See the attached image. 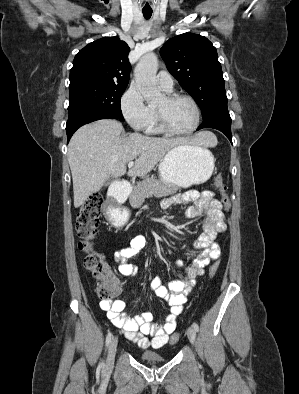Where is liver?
<instances>
[{"label": "liver", "instance_id": "6515ba94", "mask_svg": "<svg viewBox=\"0 0 299 394\" xmlns=\"http://www.w3.org/2000/svg\"><path fill=\"white\" fill-rule=\"evenodd\" d=\"M123 130L118 121L101 119L82 126L72 136L67 157L72 174L75 208L82 205L91 194L98 192L108 178L123 176L126 164L133 159L136 161L129 169L128 176L143 178L150 174L173 147L191 142L208 144L213 135L200 132L193 140L149 137L140 133L122 137ZM216 144L217 139L214 142Z\"/></svg>", "mask_w": 299, "mask_h": 394}]
</instances>
